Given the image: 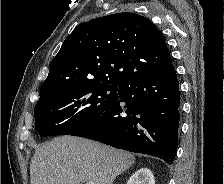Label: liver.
<instances>
[{
    "mask_svg": "<svg viewBox=\"0 0 224 184\" xmlns=\"http://www.w3.org/2000/svg\"><path fill=\"white\" fill-rule=\"evenodd\" d=\"M134 162L131 153L88 139L62 136L36 149L30 180L31 184H113Z\"/></svg>",
    "mask_w": 224,
    "mask_h": 184,
    "instance_id": "1",
    "label": "liver"
}]
</instances>
